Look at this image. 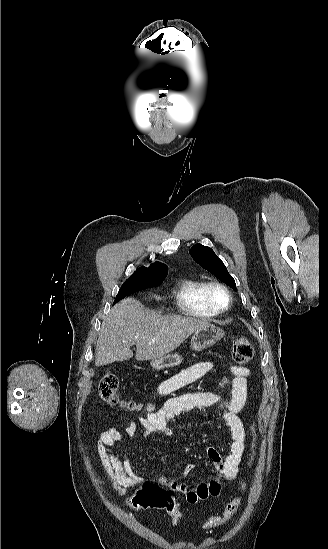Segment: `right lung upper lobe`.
<instances>
[{
  "instance_id": "1",
  "label": "right lung upper lobe",
  "mask_w": 328,
  "mask_h": 549,
  "mask_svg": "<svg viewBox=\"0 0 328 549\" xmlns=\"http://www.w3.org/2000/svg\"><path fill=\"white\" fill-rule=\"evenodd\" d=\"M144 269H148V270L151 269V270H156V271H159V272H167L168 271V268H167L166 265H164L160 262H156L155 264H152L149 268L141 267L138 270H136V272L144 270Z\"/></svg>"
}]
</instances>
